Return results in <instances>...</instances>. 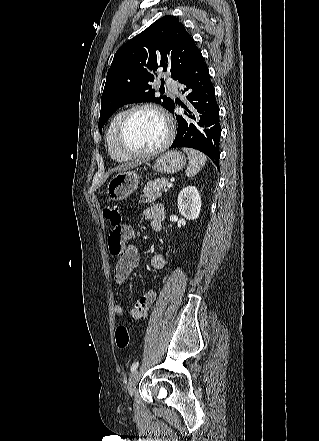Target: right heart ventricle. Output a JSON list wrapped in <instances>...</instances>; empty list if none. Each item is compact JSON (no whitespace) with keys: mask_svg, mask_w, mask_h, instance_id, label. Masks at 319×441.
<instances>
[{"mask_svg":"<svg viewBox=\"0 0 319 441\" xmlns=\"http://www.w3.org/2000/svg\"><path fill=\"white\" fill-rule=\"evenodd\" d=\"M124 110H121L117 112L112 119L110 120V123L108 125V128L106 130L105 140H106V146L109 156L117 161V162H125L128 161L130 158L123 154L117 147L116 144V128L117 125L121 119V117L124 114Z\"/></svg>","mask_w":319,"mask_h":441,"instance_id":"e07e8e85","label":"right heart ventricle"}]
</instances>
